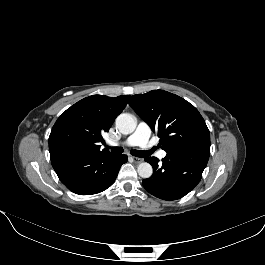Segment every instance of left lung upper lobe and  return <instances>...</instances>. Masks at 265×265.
I'll return each instance as SVG.
<instances>
[{
    "label": "left lung upper lobe",
    "instance_id": "5c2ea615",
    "mask_svg": "<svg viewBox=\"0 0 265 265\" xmlns=\"http://www.w3.org/2000/svg\"><path fill=\"white\" fill-rule=\"evenodd\" d=\"M130 106L157 132L159 146L167 153L209 143L208 127L198 110L185 99L163 90L137 94Z\"/></svg>",
    "mask_w": 265,
    "mask_h": 265
}]
</instances>
